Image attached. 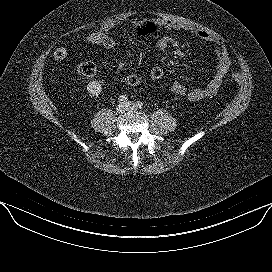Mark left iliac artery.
Returning a JSON list of instances; mask_svg holds the SVG:
<instances>
[{
	"label": "left iliac artery",
	"mask_w": 272,
	"mask_h": 272,
	"mask_svg": "<svg viewBox=\"0 0 272 272\" xmlns=\"http://www.w3.org/2000/svg\"><path fill=\"white\" fill-rule=\"evenodd\" d=\"M136 105H137V107L140 108V109L143 108V103H142L141 101H137V102H136Z\"/></svg>",
	"instance_id": "obj_1"
}]
</instances>
